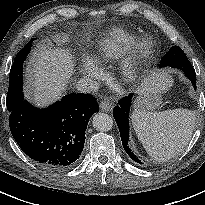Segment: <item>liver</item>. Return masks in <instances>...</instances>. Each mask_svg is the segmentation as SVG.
Wrapping results in <instances>:
<instances>
[{
    "label": "liver",
    "mask_w": 205,
    "mask_h": 205,
    "mask_svg": "<svg viewBox=\"0 0 205 205\" xmlns=\"http://www.w3.org/2000/svg\"><path fill=\"white\" fill-rule=\"evenodd\" d=\"M73 66V58L65 50L52 49L47 45L38 47L26 68L27 95L41 106L59 98L72 75ZM159 83H168L169 87L167 74L153 72L144 79L140 91L152 90Z\"/></svg>",
    "instance_id": "1"
}]
</instances>
